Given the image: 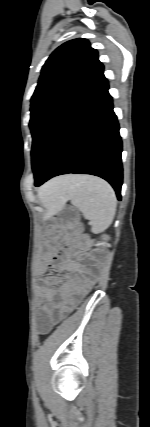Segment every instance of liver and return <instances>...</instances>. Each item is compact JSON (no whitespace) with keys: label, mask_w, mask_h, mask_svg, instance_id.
<instances>
[{"label":"liver","mask_w":150,"mask_h":427,"mask_svg":"<svg viewBox=\"0 0 150 427\" xmlns=\"http://www.w3.org/2000/svg\"><path fill=\"white\" fill-rule=\"evenodd\" d=\"M64 179L63 178H57L55 180H52L51 182H49L48 184H46L41 190H40V198L44 204V206H51V204L44 198V193L46 192V190L49 188L50 184L55 183V182H59L62 181Z\"/></svg>","instance_id":"obj_1"}]
</instances>
